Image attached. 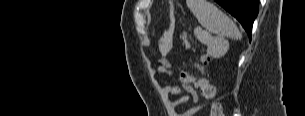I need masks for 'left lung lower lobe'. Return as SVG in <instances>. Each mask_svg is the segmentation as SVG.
Wrapping results in <instances>:
<instances>
[{"instance_id": "left-lung-lower-lobe-1", "label": "left lung lower lobe", "mask_w": 305, "mask_h": 116, "mask_svg": "<svg viewBox=\"0 0 305 116\" xmlns=\"http://www.w3.org/2000/svg\"><path fill=\"white\" fill-rule=\"evenodd\" d=\"M226 11L233 15L243 26L249 38L254 19L258 14V0H215Z\"/></svg>"}]
</instances>
